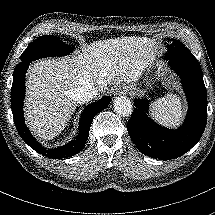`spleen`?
<instances>
[{
	"label": "spleen",
	"mask_w": 215,
	"mask_h": 215,
	"mask_svg": "<svg viewBox=\"0 0 215 215\" xmlns=\"http://www.w3.org/2000/svg\"><path fill=\"white\" fill-rule=\"evenodd\" d=\"M153 118L165 127L179 126L185 116V106L178 94L168 93L151 104Z\"/></svg>",
	"instance_id": "3e777b00"
}]
</instances>
